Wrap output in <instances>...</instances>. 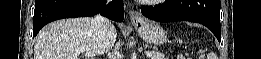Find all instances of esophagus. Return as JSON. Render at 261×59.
<instances>
[{
	"label": "esophagus",
	"instance_id": "34e87169",
	"mask_svg": "<svg viewBox=\"0 0 261 59\" xmlns=\"http://www.w3.org/2000/svg\"><path fill=\"white\" fill-rule=\"evenodd\" d=\"M130 19H131L132 24H138V23H142L144 18L140 12L131 10Z\"/></svg>",
	"mask_w": 261,
	"mask_h": 59
}]
</instances>
